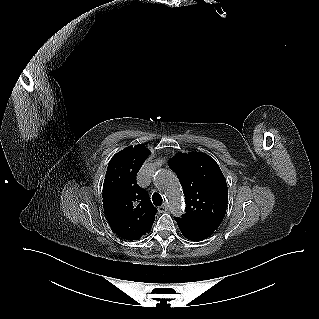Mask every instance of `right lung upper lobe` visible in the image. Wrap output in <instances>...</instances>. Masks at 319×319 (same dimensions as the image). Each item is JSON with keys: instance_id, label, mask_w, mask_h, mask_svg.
Returning a JSON list of instances; mask_svg holds the SVG:
<instances>
[{"instance_id": "cb5924a9", "label": "right lung upper lobe", "mask_w": 319, "mask_h": 319, "mask_svg": "<svg viewBox=\"0 0 319 319\" xmlns=\"http://www.w3.org/2000/svg\"><path fill=\"white\" fill-rule=\"evenodd\" d=\"M150 151L143 145L128 146L110 160L103 184V207L115 233L138 240L153 225L157 209L149 194L138 186L136 176Z\"/></svg>"}]
</instances>
